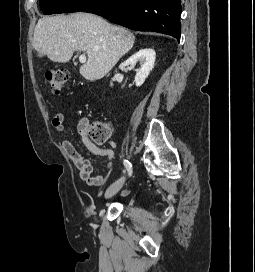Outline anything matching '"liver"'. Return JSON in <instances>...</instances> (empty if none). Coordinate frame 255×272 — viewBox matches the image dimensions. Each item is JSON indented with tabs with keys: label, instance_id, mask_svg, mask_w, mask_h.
I'll list each match as a JSON object with an SVG mask.
<instances>
[{
	"label": "liver",
	"instance_id": "1",
	"mask_svg": "<svg viewBox=\"0 0 255 272\" xmlns=\"http://www.w3.org/2000/svg\"><path fill=\"white\" fill-rule=\"evenodd\" d=\"M135 36L90 13L46 16L39 19L33 48L54 62H68L75 51L86 52L88 60L80 74L90 81L103 78L132 49Z\"/></svg>",
	"mask_w": 255,
	"mask_h": 272
}]
</instances>
